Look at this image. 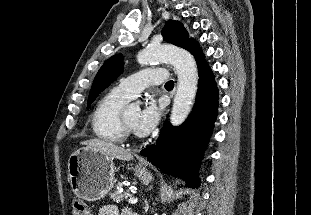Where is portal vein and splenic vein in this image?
I'll return each instance as SVG.
<instances>
[{"label":"portal vein and splenic vein","mask_w":311,"mask_h":215,"mask_svg":"<svg viewBox=\"0 0 311 215\" xmlns=\"http://www.w3.org/2000/svg\"><path fill=\"white\" fill-rule=\"evenodd\" d=\"M138 202V199L137 198H134V197H130L128 199V203L129 204H136Z\"/></svg>","instance_id":"18ae733b"}]
</instances>
